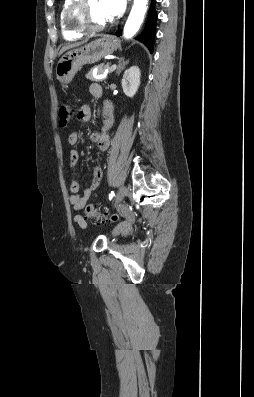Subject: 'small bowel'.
Wrapping results in <instances>:
<instances>
[{"instance_id":"c3829d8e","label":"small bowel","mask_w":254,"mask_h":397,"mask_svg":"<svg viewBox=\"0 0 254 397\" xmlns=\"http://www.w3.org/2000/svg\"><path fill=\"white\" fill-rule=\"evenodd\" d=\"M90 93L96 97L101 98L103 95L102 86L98 83H92L89 87ZM91 118V108L89 105H83L80 107L77 119L80 123H87ZM114 122L113 107L109 101H105L103 105V126L100 131L91 134V141L95 143L100 152H105L110 146V140L108 136V130L111 128ZM80 141V135L77 132H72L69 134L68 142L71 146H76ZM79 160V154L76 149H72L70 152L69 163L71 167H75ZM102 178V168L97 165L94 167L89 184L84 189L83 194L79 193L80 184L77 180H72L70 183L71 195L69 201L75 210H81L85 207L88 199L99 186ZM74 222L78 224L81 228H86L87 224L84 218L80 215L74 217ZM131 229V224L129 222H122L119 224L115 230L114 234L119 232L128 233Z\"/></svg>"}]
</instances>
